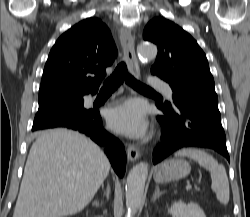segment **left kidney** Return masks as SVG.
I'll list each match as a JSON object with an SVG mask.
<instances>
[{
	"instance_id": "obj_1",
	"label": "left kidney",
	"mask_w": 250,
	"mask_h": 217,
	"mask_svg": "<svg viewBox=\"0 0 250 217\" xmlns=\"http://www.w3.org/2000/svg\"><path fill=\"white\" fill-rule=\"evenodd\" d=\"M168 212L172 217H206L200 206L192 202L189 204L182 201L174 202Z\"/></svg>"
}]
</instances>
